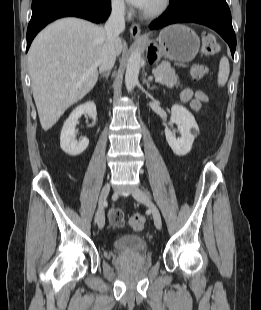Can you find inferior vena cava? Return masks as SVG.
Masks as SVG:
<instances>
[{
  "mask_svg": "<svg viewBox=\"0 0 261 310\" xmlns=\"http://www.w3.org/2000/svg\"><path fill=\"white\" fill-rule=\"evenodd\" d=\"M125 5L123 2L112 4L111 14L105 24L106 40L99 57V71L110 72L116 60L115 42L125 29Z\"/></svg>",
  "mask_w": 261,
  "mask_h": 310,
  "instance_id": "inferior-vena-cava-1",
  "label": "inferior vena cava"
}]
</instances>
